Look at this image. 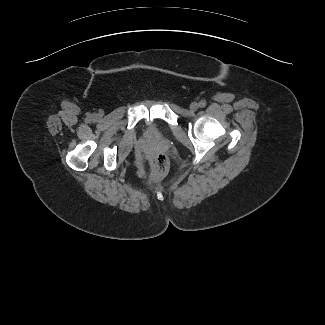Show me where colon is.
I'll return each mask as SVG.
<instances>
[{
    "label": "colon",
    "mask_w": 325,
    "mask_h": 325,
    "mask_svg": "<svg viewBox=\"0 0 325 325\" xmlns=\"http://www.w3.org/2000/svg\"><path fill=\"white\" fill-rule=\"evenodd\" d=\"M169 162L165 155L157 154L152 159V172L151 179L153 181L159 180L162 178L168 171Z\"/></svg>",
    "instance_id": "5ec220e1"
}]
</instances>
